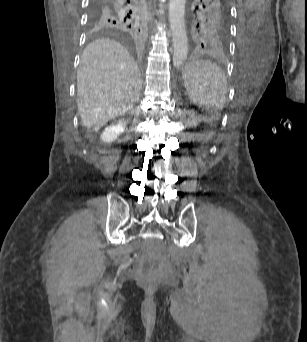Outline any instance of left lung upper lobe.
<instances>
[{"label": "left lung upper lobe", "mask_w": 307, "mask_h": 342, "mask_svg": "<svg viewBox=\"0 0 307 342\" xmlns=\"http://www.w3.org/2000/svg\"><path fill=\"white\" fill-rule=\"evenodd\" d=\"M192 29L195 46L202 51L223 53L229 39L227 0H198L193 4Z\"/></svg>", "instance_id": "obj_1"}]
</instances>
